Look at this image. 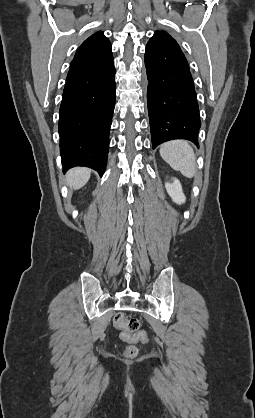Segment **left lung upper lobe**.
I'll return each instance as SVG.
<instances>
[{"label": "left lung upper lobe", "mask_w": 255, "mask_h": 418, "mask_svg": "<svg viewBox=\"0 0 255 418\" xmlns=\"http://www.w3.org/2000/svg\"><path fill=\"white\" fill-rule=\"evenodd\" d=\"M151 39H158L164 41H175L168 33L163 31H156L154 36Z\"/></svg>", "instance_id": "1"}]
</instances>
